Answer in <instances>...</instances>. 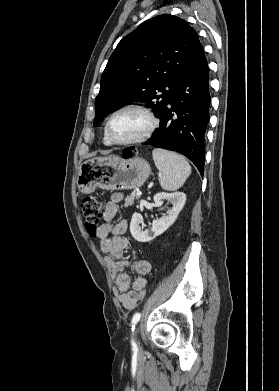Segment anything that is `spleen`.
<instances>
[{
  "mask_svg": "<svg viewBox=\"0 0 279 391\" xmlns=\"http://www.w3.org/2000/svg\"><path fill=\"white\" fill-rule=\"evenodd\" d=\"M154 163L159 170L160 185L164 190L179 189L191 174V166L185 158L175 152L161 148L152 151Z\"/></svg>",
  "mask_w": 279,
  "mask_h": 391,
  "instance_id": "obj_1",
  "label": "spleen"
}]
</instances>
